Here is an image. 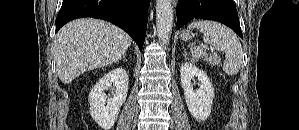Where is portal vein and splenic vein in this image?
<instances>
[{
    "instance_id": "18ae733b",
    "label": "portal vein and splenic vein",
    "mask_w": 299,
    "mask_h": 130,
    "mask_svg": "<svg viewBox=\"0 0 299 130\" xmlns=\"http://www.w3.org/2000/svg\"><path fill=\"white\" fill-rule=\"evenodd\" d=\"M211 52H215V49L213 47L210 48Z\"/></svg>"
}]
</instances>
